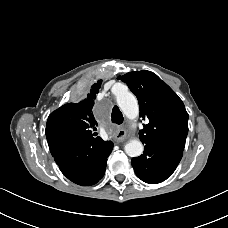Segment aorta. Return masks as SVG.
I'll list each match as a JSON object with an SVG mask.
<instances>
[{
	"instance_id": "762f6f07",
	"label": "aorta",
	"mask_w": 228,
	"mask_h": 228,
	"mask_svg": "<svg viewBox=\"0 0 228 228\" xmlns=\"http://www.w3.org/2000/svg\"><path fill=\"white\" fill-rule=\"evenodd\" d=\"M116 100L119 108L130 120H135L139 115V106L136 97L120 85L116 92ZM143 144L139 140H131L125 145V152L130 157H138L143 153Z\"/></svg>"
}]
</instances>
